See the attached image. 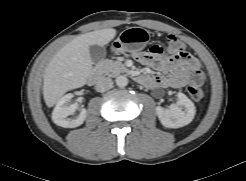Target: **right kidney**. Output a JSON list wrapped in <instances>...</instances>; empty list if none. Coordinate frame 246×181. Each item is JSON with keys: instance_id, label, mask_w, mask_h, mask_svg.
<instances>
[{"instance_id": "right-kidney-1", "label": "right kidney", "mask_w": 246, "mask_h": 181, "mask_svg": "<svg viewBox=\"0 0 246 181\" xmlns=\"http://www.w3.org/2000/svg\"><path fill=\"white\" fill-rule=\"evenodd\" d=\"M73 97V94L69 93L63 96L55 106L52 112L53 122L64 128H75L83 124L87 116V111L82 109L80 114L75 119L67 118L69 115H72L77 109L78 104L74 103L67 105L66 103Z\"/></svg>"}]
</instances>
